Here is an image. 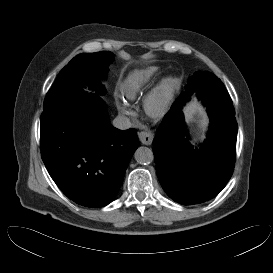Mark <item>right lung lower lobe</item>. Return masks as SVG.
Masks as SVG:
<instances>
[{
	"label": "right lung lower lobe",
	"mask_w": 273,
	"mask_h": 273,
	"mask_svg": "<svg viewBox=\"0 0 273 273\" xmlns=\"http://www.w3.org/2000/svg\"><path fill=\"white\" fill-rule=\"evenodd\" d=\"M96 94L72 91L44 107L40 118L42 160L61 191L86 207L113 201L139 146L135 129L113 127Z\"/></svg>",
	"instance_id": "obj_1"
}]
</instances>
